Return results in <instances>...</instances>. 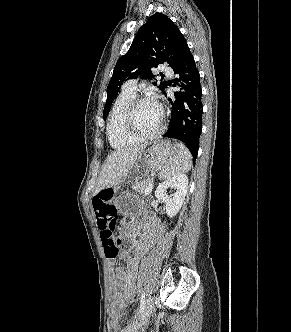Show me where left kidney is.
<instances>
[{
    "instance_id": "left-kidney-1",
    "label": "left kidney",
    "mask_w": 291,
    "mask_h": 332,
    "mask_svg": "<svg viewBox=\"0 0 291 332\" xmlns=\"http://www.w3.org/2000/svg\"><path fill=\"white\" fill-rule=\"evenodd\" d=\"M168 189H174V193L167 195ZM188 189V177L179 174L159 184L155 191V197L166 205V213L172 218L182 207Z\"/></svg>"
}]
</instances>
